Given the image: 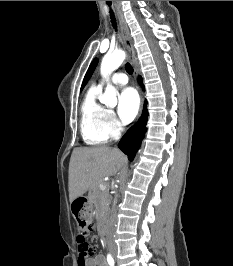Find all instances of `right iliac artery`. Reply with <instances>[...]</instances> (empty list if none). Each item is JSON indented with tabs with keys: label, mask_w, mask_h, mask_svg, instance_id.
I'll use <instances>...</instances> for the list:
<instances>
[{
	"label": "right iliac artery",
	"mask_w": 233,
	"mask_h": 266,
	"mask_svg": "<svg viewBox=\"0 0 233 266\" xmlns=\"http://www.w3.org/2000/svg\"><path fill=\"white\" fill-rule=\"evenodd\" d=\"M107 262L110 266H114L115 262H114V259L113 257L111 256V254H108L107 255Z\"/></svg>",
	"instance_id": "obj_1"
}]
</instances>
